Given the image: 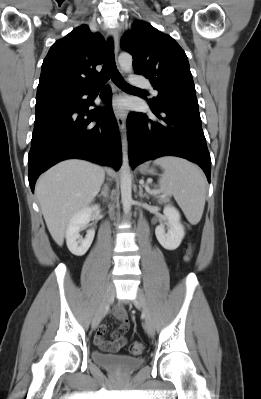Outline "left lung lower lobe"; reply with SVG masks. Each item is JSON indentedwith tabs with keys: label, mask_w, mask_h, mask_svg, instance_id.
I'll return each mask as SVG.
<instances>
[{
	"label": "left lung lower lobe",
	"mask_w": 261,
	"mask_h": 399,
	"mask_svg": "<svg viewBox=\"0 0 261 399\" xmlns=\"http://www.w3.org/2000/svg\"><path fill=\"white\" fill-rule=\"evenodd\" d=\"M151 109L157 120L136 112L127 118L131 167L162 156H178L197 163L210 182L211 159L198 104L181 101Z\"/></svg>",
	"instance_id": "left-lung-lower-lobe-1"
}]
</instances>
